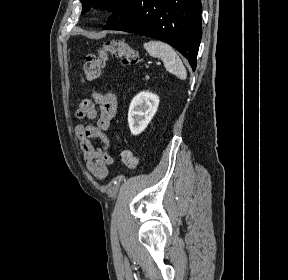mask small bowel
Returning <instances> with one entry per match:
<instances>
[{
    "instance_id": "c3829d8e",
    "label": "small bowel",
    "mask_w": 288,
    "mask_h": 280,
    "mask_svg": "<svg viewBox=\"0 0 288 280\" xmlns=\"http://www.w3.org/2000/svg\"><path fill=\"white\" fill-rule=\"evenodd\" d=\"M98 107V110H97ZM117 112V98L111 92H93L91 98L83 99L78 105L75 115L81 121L76 126V134L80 140V148L87 169L96 179H104L114 162L110 153L112 141L106 134L111 121ZM96 120V125L83 122ZM99 139L100 147L93 144Z\"/></svg>"
}]
</instances>
